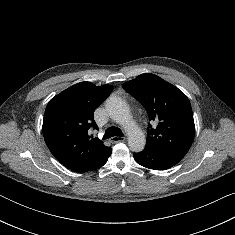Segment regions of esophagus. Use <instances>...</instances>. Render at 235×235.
I'll return each mask as SVG.
<instances>
[{
  "label": "esophagus",
  "instance_id": "1",
  "mask_svg": "<svg viewBox=\"0 0 235 235\" xmlns=\"http://www.w3.org/2000/svg\"><path fill=\"white\" fill-rule=\"evenodd\" d=\"M125 140V137H120V136H114L110 139L111 143H118V142H122Z\"/></svg>",
  "mask_w": 235,
  "mask_h": 235
}]
</instances>
